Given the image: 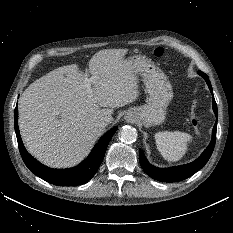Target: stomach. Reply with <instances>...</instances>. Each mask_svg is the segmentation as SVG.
I'll return each mask as SVG.
<instances>
[{
  "label": "stomach",
  "mask_w": 233,
  "mask_h": 233,
  "mask_svg": "<svg viewBox=\"0 0 233 233\" xmlns=\"http://www.w3.org/2000/svg\"><path fill=\"white\" fill-rule=\"evenodd\" d=\"M134 73L142 78L148 93V102L128 110L134 112L137 121L145 127L160 125L166 118V109L173 98L172 85L167 76L150 60L142 55H133L127 59Z\"/></svg>",
  "instance_id": "0dacf381"
}]
</instances>
